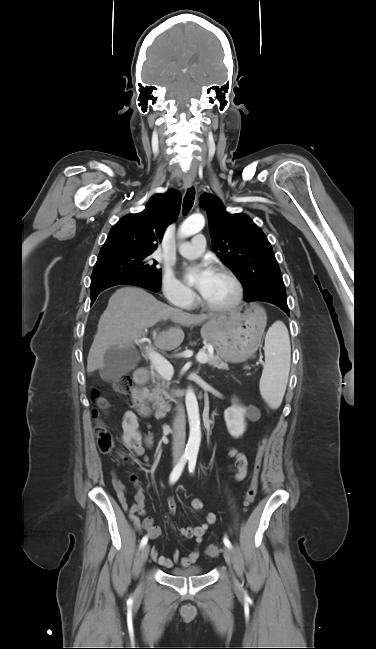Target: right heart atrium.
<instances>
[{"mask_svg":"<svg viewBox=\"0 0 376 649\" xmlns=\"http://www.w3.org/2000/svg\"><path fill=\"white\" fill-rule=\"evenodd\" d=\"M161 291L169 303L181 308L191 307L195 300L194 292L170 272L162 275Z\"/></svg>","mask_w":376,"mask_h":649,"instance_id":"obj_1","label":"right heart atrium"}]
</instances>
